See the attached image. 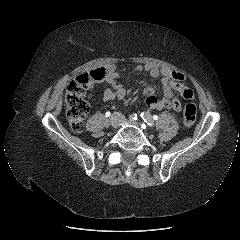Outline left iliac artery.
I'll return each instance as SVG.
<instances>
[{"mask_svg":"<svg viewBox=\"0 0 240 240\" xmlns=\"http://www.w3.org/2000/svg\"><path fill=\"white\" fill-rule=\"evenodd\" d=\"M140 116H141L142 120H143L145 123H147L148 126L151 127V126L154 125L150 113H148V112H142V113L140 114Z\"/></svg>","mask_w":240,"mask_h":240,"instance_id":"left-iliac-artery-1","label":"left iliac artery"}]
</instances>
